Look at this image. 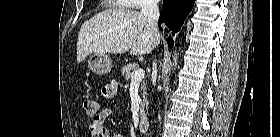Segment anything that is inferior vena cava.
<instances>
[{"mask_svg": "<svg viewBox=\"0 0 280 137\" xmlns=\"http://www.w3.org/2000/svg\"><path fill=\"white\" fill-rule=\"evenodd\" d=\"M159 0H145L143 7L141 9V15L146 17L153 27V29L158 32V19H159ZM153 73H157V64L153 62Z\"/></svg>", "mask_w": 280, "mask_h": 137, "instance_id": "obj_1", "label": "inferior vena cava"}]
</instances>
